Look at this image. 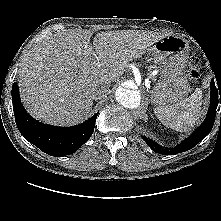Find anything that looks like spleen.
<instances>
[{
	"label": "spleen",
	"instance_id": "spleen-1",
	"mask_svg": "<svg viewBox=\"0 0 221 221\" xmlns=\"http://www.w3.org/2000/svg\"><path fill=\"white\" fill-rule=\"evenodd\" d=\"M202 91L197 88L193 94L179 103L154 108L160 122L168 128L187 132L199 123L201 117Z\"/></svg>",
	"mask_w": 221,
	"mask_h": 221
}]
</instances>
